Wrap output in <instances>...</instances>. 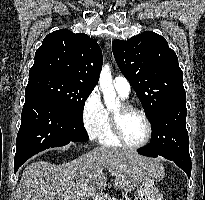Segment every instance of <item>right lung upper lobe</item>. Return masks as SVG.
Returning a JSON list of instances; mask_svg holds the SVG:
<instances>
[{"instance_id":"1","label":"right lung upper lobe","mask_w":205,"mask_h":200,"mask_svg":"<svg viewBox=\"0 0 205 200\" xmlns=\"http://www.w3.org/2000/svg\"><path fill=\"white\" fill-rule=\"evenodd\" d=\"M103 63L97 42L83 33L61 29L48 34L35 53L29 79L57 75L95 87Z\"/></svg>"}]
</instances>
